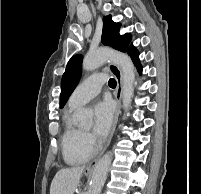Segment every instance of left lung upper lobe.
Instances as JSON below:
<instances>
[{
	"label": "left lung upper lobe",
	"mask_w": 201,
	"mask_h": 194,
	"mask_svg": "<svg viewBox=\"0 0 201 194\" xmlns=\"http://www.w3.org/2000/svg\"><path fill=\"white\" fill-rule=\"evenodd\" d=\"M120 24L115 23L111 19V15L103 18V31L101 42L104 45L111 46L119 51L129 53L134 47L128 46V42L131 38L130 34L121 36L119 34ZM82 55L73 56L63 74L61 81V94H60V108H63L66 104L68 97L74 91L81 77L82 70Z\"/></svg>",
	"instance_id": "5c2ea615"
}]
</instances>
